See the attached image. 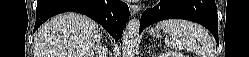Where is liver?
<instances>
[{"mask_svg": "<svg viewBox=\"0 0 249 57\" xmlns=\"http://www.w3.org/2000/svg\"><path fill=\"white\" fill-rule=\"evenodd\" d=\"M100 29L95 21L78 13L57 15L36 33L34 57H94Z\"/></svg>", "mask_w": 249, "mask_h": 57, "instance_id": "1", "label": "liver"}]
</instances>
